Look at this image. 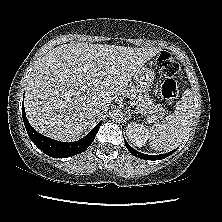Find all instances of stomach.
<instances>
[{"label": "stomach", "mask_w": 222, "mask_h": 222, "mask_svg": "<svg viewBox=\"0 0 222 222\" xmlns=\"http://www.w3.org/2000/svg\"><path fill=\"white\" fill-rule=\"evenodd\" d=\"M155 73L148 68H140L133 76V82L137 89L141 92L147 93L152 88Z\"/></svg>", "instance_id": "obj_1"}]
</instances>
